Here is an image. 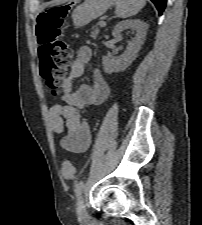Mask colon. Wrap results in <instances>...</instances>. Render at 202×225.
<instances>
[{"mask_svg":"<svg viewBox=\"0 0 202 225\" xmlns=\"http://www.w3.org/2000/svg\"><path fill=\"white\" fill-rule=\"evenodd\" d=\"M65 7L49 8L37 15L35 36L41 57L40 75L48 89L56 95L71 65L72 54L66 42L60 39ZM61 173L65 179H76V171L71 161H64Z\"/></svg>","mask_w":202,"mask_h":225,"instance_id":"5ec220e1","label":"colon"}]
</instances>
